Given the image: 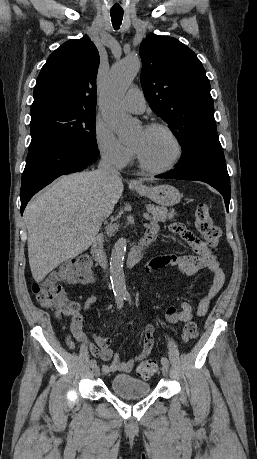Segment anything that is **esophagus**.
Listing matches in <instances>:
<instances>
[{"mask_svg":"<svg viewBox=\"0 0 257 459\" xmlns=\"http://www.w3.org/2000/svg\"><path fill=\"white\" fill-rule=\"evenodd\" d=\"M132 184H138V182L137 181H133Z\"/></svg>","mask_w":257,"mask_h":459,"instance_id":"obj_1","label":"esophagus"}]
</instances>
